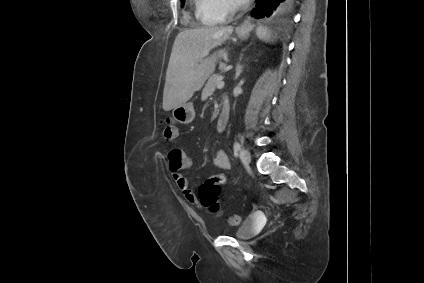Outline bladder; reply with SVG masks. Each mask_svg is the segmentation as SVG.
Here are the masks:
<instances>
[{
    "mask_svg": "<svg viewBox=\"0 0 424 283\" xmlns=\"http://www.w3.org/2000/svg\"><path fill=\"white\" fill-rule=\"evenodd\" d=\"M261 229V223L255 216L246 218L234 233L239 240H247L255 236Z\"/></svg>",
    "mask_w": 424,
    "mask_h": 283,
    "instance_id": "obj_1",
    "label": "bladder"
}]
</instances>
